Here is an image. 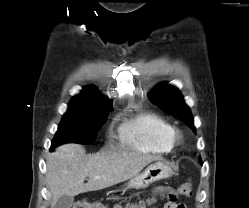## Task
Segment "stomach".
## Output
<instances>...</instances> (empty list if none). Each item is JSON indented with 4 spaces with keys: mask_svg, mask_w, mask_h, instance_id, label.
<instances>
[{
    "mask_svg": "<svg viewBox=\"0 0 249 208\" xmlns=\"http://www.w3.org/2000/svg\"><path fill=\"white\" fill-rule=\"evenodd\" d=\"M172 175L171 168L164 162L158 161L149 165L142 173L133 177L125 187L127 189H145L152 183Z\"/></svg>",
    "mask_w": 249,
    "mask_h": 208,
    "instance_id": "1",
    "label": "stomach"
}]
</instances>
